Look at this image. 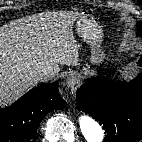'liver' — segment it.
Masks as SVG:
<instances>
[{
  "mask_svg": "<svg viewBox=\"0 0 142 142\" xmlns=\"http://www.w3.org/2000/svg\"><path fill=\"white\" fill-rule=\"evenodd\" d=\"M79 16L73 11L43 12L0 27V102L36 86L42 67L57 75L60 65H78L72 25Z\"/></svg>",
  "mask_w": 142,
  "mask_h": 142,
  "instance_id": "obj_1",
  "label": "liver"
}]
</instances>
